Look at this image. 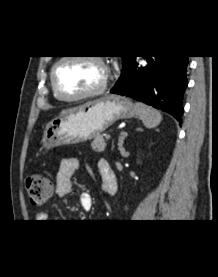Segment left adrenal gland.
Listing matches in <instances>:
<instances>
[{"mask_svg":"<svg viewBox=\"0 0 218 277\" xmlns=\"http://www.w3.org/2000/svg\"><path fill=\"white\" fill-rule=\"evenodd\" d=\"M123 140H124V135L122 134V136L119 137V141H120V145H119V149H123L122 147V143H123ZM114 148V144L112 145V149Z\"/></svg>","mask_w":218,"mask_h":277,"instance_id":"left-adrenal-gland-1","label":"left adrenal gland"}]
</instances>
